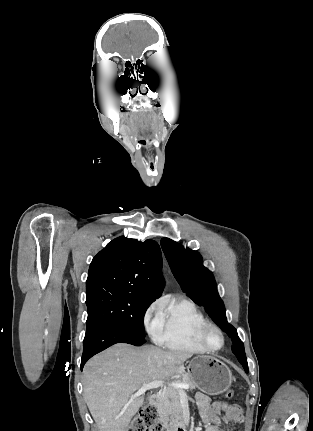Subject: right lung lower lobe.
<instances>
[{"instance_id": "right-lung-lower-lobe-1", "label": "right lung lower lobe", "mask_w": 313, "mask_h": 431, "mask_svg": "<svg viewBox=\"0 0 313 431\" xmlns=\"http://www.w3.org/2000/svg\"><path fill=\"white\" fill-rule=\"evenodd\" d=\"M128 343L135 346H141L146 342L145 339L138 338L121 329L101 325L91 331L86 332L83 341V355L81 361V370L84 364L95 354L103 351L116 343Z\"/></svg>"}]
</instances>
